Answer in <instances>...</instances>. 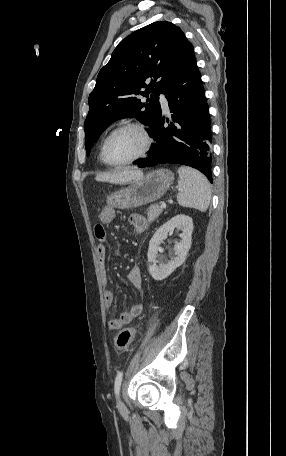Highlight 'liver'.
Wrapping results in <instances>:
<instances>
[{"instance_id": "1", "label": "liver", "mask_w": 286, "mask_h": 456, "mask_svg": "<svg viewBox=\"0 0 286 456\" xmlns=\"http://www.w3.org/2000/svg\"><path fill=\"white\" fill-rule=\"evenodd\" d=\"M144 176L141 170L136 168L128 167L122 170H116L108 173H99L96 177V181L109 182L113 184H127L139 181Z\"/></svg>"}]
</instances>
